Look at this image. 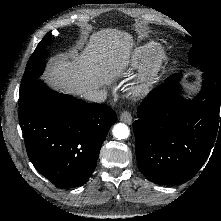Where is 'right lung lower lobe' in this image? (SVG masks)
<instances>
[{"mask_svg":"<svg viewBox=\"0 0 221 221\" xmlns=\"http://www.w3.org/2000/svg\"><path fill=\"white\" fill-rule=\"evenodd\" d=\"M116 113L107 105L59 94L37 80L19 98L29 159L58 188L84 185Z\"/></svg>","mask_w":221,"mask_h":221,"instance_id":"98d812e1","label":"right lung lower lobe"}]
</instances>
